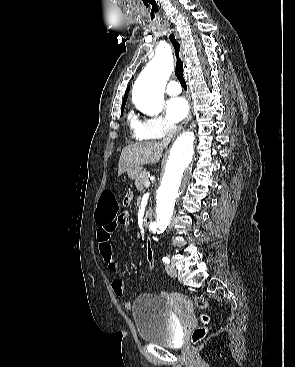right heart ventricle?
I'll list each match as a JSON object with an SVG mask.
<instances>
[{"label": "right heart ventricle", "instance_id": "e07e8e85", "mask_svg": "<svg viewBox=\"0 0 295 367\" xmlns=\"http://www.w3.org/2000/svg\"><path fill=\"white\" fill-rule=\"evenodd\" d=\"M128 122H129L130 127L134 130L135 125L138 122V119H137V117L133 113H129L128 114ZM134 134H135V136H136L137 139H145V138H142V137L138 136L135 133V130H134Z\"/></svg>", "mask_w": 295, "mask_h": 367}]
</instances>
